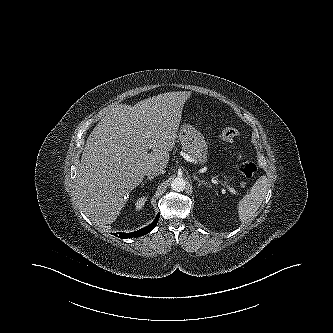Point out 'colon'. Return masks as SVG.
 Returning <instances> with one entry per match:
<instances>
[{
	"label": "colon",
	"instance_id": "colon-1",
	"mask_svg": "<svg viewBox=\"0 0 333 333\" xmlns=\"http://www.w3.org/2000/svg\"><path fill=\"white\" fill-rule=\"evenodd\" d=\"M238 134L239 132L234 126L228 125L222 130V139L228 143L233 142ZM237 168L239 172L247 178L253 177L257 170L256 165L249 160H240Z\"/></svg>",
	"mask_w": 333,
	"mask_h": 333
}]
</instances>
